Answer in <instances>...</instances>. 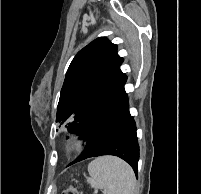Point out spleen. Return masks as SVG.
Listing matches in <instances>:
<instances>
[{"label":"spleen","mask_w":201,"mask_h":194,"mask_svg":"<svg viewBox=\"0 0 201 194\" xmlns=\"http://www.w3.org/2000/svg\"><path fill=\"white\" fill-rule=\"evenodd\" d=\"M88 172L92 188L103 189L105 194H134L133 169L118 157H98L88 165Z\"/></svg>","instance_id":"3e777b00"}]
</instances>
